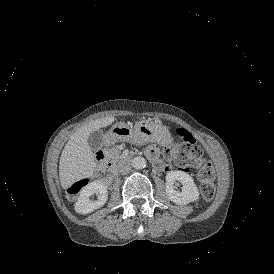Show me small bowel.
I'll return each mask as SVG.
<instances>
[{
  "instance_id": "small-bowel-1",
  "label": "small bowel",
  "mask_w": 274,
  "mask_h": 274,
  "mask_svg": "<svg viewBox=\"0 0 274 274\" xmlns=\"http://www.w3.org/2000/svg\"><path fill=\"white\" fill-rule=\"evenodd\" d=\"M157 154L158 151L155 147L151 146L149 147V149L147 150V155L149 156V158L154 161L157 159ZM155 162V161H154Z\"/></svg>"
}]
</instances>
